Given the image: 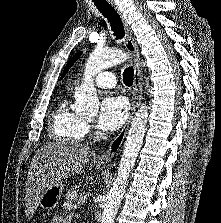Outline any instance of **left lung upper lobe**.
<instances>
[{
  "label": "left lung upper lobe",
  "mask_w": 221,
  "mask_h": 223,
  "mask_svg": "<svg viewBox=\"0 0 221 223\" xmlns=\"http://www.w3.org/2000/svg\"><path fill=\"white\" fill-rule=\"evenodd\" d=\"M82 52H79L77 54H75V56H73L71 58V60L67 63L63 73H62V76H61V79L65 76V74L67 73V71L70 69V67L74 64V62L80 57Z\"/></svg>",
  "instance_id": "1"
}]
</instances>
